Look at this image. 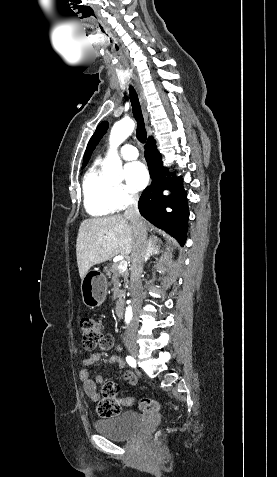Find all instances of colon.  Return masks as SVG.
<instances>
[{
    "label": "colon",
    "instance_id": "obj_1",
    "mask_svg": "<svg viewBox=\"0 0 277 477\" xmlns=\"http://www.w3.org/2000/svg\"><path fill=\"white\" fill-rule=\"evenodd\" d=\"M80 332L82 335V344L85 350H94L102 337V329L100 324L92 316H84L80 321ZM118 386L114 383H107L103 387L105 398L98 406V412L101 416L108 417L119 414L123 400L116 397ZM139 408L148 413H154L159 410V402L154 399L141 398L138 401ZM160 432L156 433V437L160 436Z\"/></svg>",
    "mask_w": 277,
    "mask_h": 477
}]
</instances>
